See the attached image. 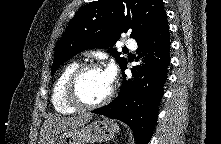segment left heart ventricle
I'll return each instance as SVG.
<instances>
[{"instance_id": "left-heart-ventricle-1", "label": "left heart ventricle", "mask_w": 221, "mask_h": 144, "mask_svg": "<svg viewBox=\"0 0 221 144\" xmlns=\"http://www.w3.org/2000/svg\"><path fill=\"white\" fill-rule=\"evenodd\" d=\"M110 87L103 69H91L80 79L78 92L85 102L94 103L101 100Z\"/></svg>"}]
</instances>
